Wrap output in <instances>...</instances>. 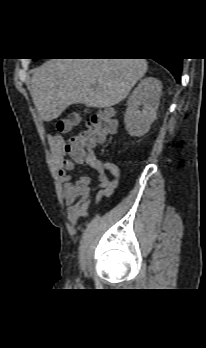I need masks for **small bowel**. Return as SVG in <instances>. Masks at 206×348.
Segmentation results:
<instances>
[{
	"label": "small bowel",
	"mask_w": 206,
	"mask_h": 348,
	"mask_svg": "<svg viewBox=\"0 0 206 348\" xmlns=\"http://www.w3.org/2000/svg\"><path fill=\"white\" fill-rule=\"evenodd\" d=\"M62 144V137H53L51 151L57 167L58 177L63 183L68 219L71 224L75 225L79 219L88 217V208L92 200L97 204L102 198L112 194L119 183L120 169L114 163L102 161L93 153L82 160L67 159ZM75 163L87 164L97 172L96 186H91L92 179L89 175H80L76 181H72L69 172L73 169Z\"/></svg>",
	"instance_id": "c3829d8e"
}]
</instances>
